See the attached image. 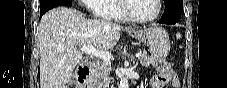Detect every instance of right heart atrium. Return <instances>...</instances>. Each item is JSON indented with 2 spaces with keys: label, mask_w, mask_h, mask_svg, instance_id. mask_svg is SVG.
Returning <instances> with one entry per match:
<instances>
[{
  "label": "right heart atrium",
  "mask_w": 227,
  "mask_h": 88,
  "mask_svg": "<svg viewBox=\"0 0 227 88\" xmlns=\"http://www.w3.org/2000/svg\"><path fill=\"white\" fill-rule=\"evenodd\" d=\"M93 1H95V0H82V2H84V3H90V4H92Z\"/></svg>",
  "instance_id": "obj_1"
}]
</instances>
